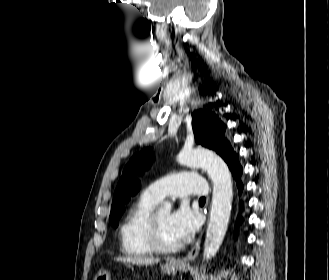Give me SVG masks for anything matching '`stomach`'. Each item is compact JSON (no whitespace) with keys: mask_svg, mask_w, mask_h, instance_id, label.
Instances as JSON below:
<instances>
[{"mask_svg":"<svg viewBox=\"0 0 329 280\" xmlns=\"http://www.w3.org/2000/svg\"><path fill=\"white\" fill-rule=\"evenodd\" d=\"M181 269L179 265L166 264L162 266V272L165 274H175ZM94 280H111L110 273L106 269H100L94 277Z\"/></svg>","mask_w":329,"mask_h":280,"instance_id":"stomach-1","label":"stomach"}]
</instances>
